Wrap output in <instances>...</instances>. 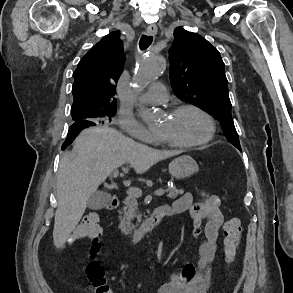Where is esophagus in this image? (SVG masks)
Instances as JSON below:
<instances>
[{
  "label": "esophagus",
  "instance_id": "1",
  "mask_svg": "<svg viewBox=\"0 0 293 293\" xmlns=\"http://www.w3.org/2000/svg\"><path fill=\"white\" fill-rule=\"evenodd\" d=\"M157 33V26L154 24H151L147 27L146 29V34L147 35H156Z\"/></svg>",
  "mask_w": 293,
  "mask_h": 293
}]
</instances>
